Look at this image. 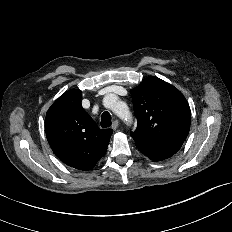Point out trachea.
<instances>
[{
	"mask_svg": "<svg viewBox=\"0 0 232 232\" xmlns=\"http://www.w3.org/2000/svg\"><path fill=\"white\" fill-rule=\"evenodd\" d=\"M109 126H111V115L105 111L101 116V127L107 128Z\"/></svg>",
	"mask_w": 232,
	"mask_h": 232,
	"instance_id": "3493384b",
	"label": "trachea"
}]
</instances>
